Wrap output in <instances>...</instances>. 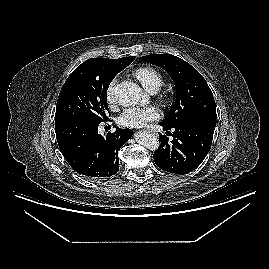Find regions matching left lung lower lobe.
Here are the masks:
<instances>
[{
  "instance_id": "left-lung-lower-lobe-1",
  "label": "left lung lower lobe",
  "mask_w": 269,
  "mask_h": 269,
  "mask_svg": "<svg viewBox=\"0 0 269 269\" xmlns=\"http://www.w3.org/2000/svg\"><path fill=\"white\" fill-rule=\"evenodd\" d=\"M161 126L173 140L169 142L166 136L160 135V147L153 155L155 164L162 170L181 175L195 170L211 148L216 120L201 119L174 128ZM171 129L173 133L168 131Z\"/></svg>"
}]
</instances>
